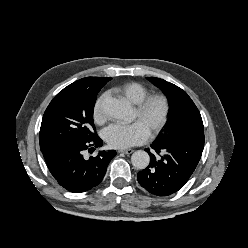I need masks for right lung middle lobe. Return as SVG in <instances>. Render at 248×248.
<instances>
[{"label": "right lung middle lobe", "mask_w": 248, "mask_h": 248, "mask_svg": "<svg viewBox=\"0 0 248 248\" xmlns=\"http://www.w3.org/2000/svg\"><path fill=\"white\" fill-rule=\"evenodd\" d=\"M100 89L85 91L64 88L52 99L41 123V152L65 141L89 140L96 136L93 111Z\"/></svg>", "instance_id": "dd1d6c3e"}]
</instances>
